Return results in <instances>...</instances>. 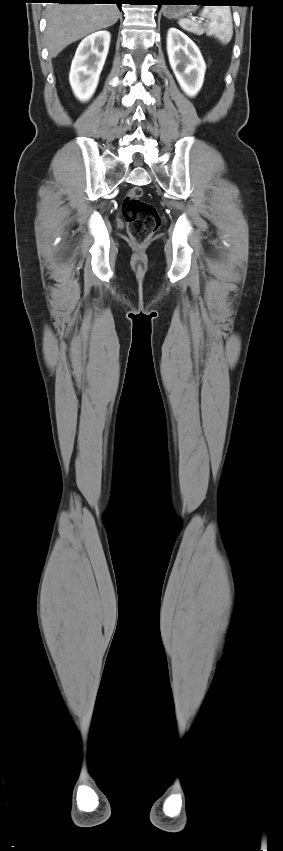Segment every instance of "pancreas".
Wrapping results in <instances>:
<instances>
[{
  "label": "pancreas",
  "instance_id": "cf45deb5",
  "mask_svg": "<svg viewBox=\"0 0 283 851\" xmlns=\"http://www.w3.org/2000/svg\"><path fill=\"white\" fill-rule=\"evenodd\" d=\"M198 34H199V35H201V34H202V31H199V32H198Z\"/></svg>",
  "mask_w": 283,
  "mask_h": 851
}]
</instances>
